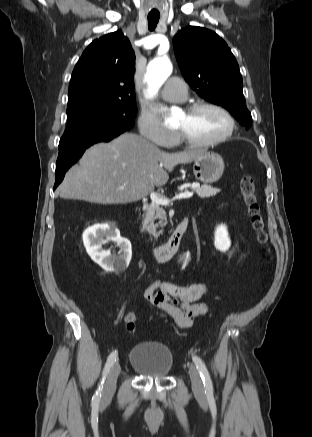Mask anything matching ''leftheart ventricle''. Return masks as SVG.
I'll use <instances>...</instances> for the list:
<instances>
[{"mask_svg":"<svg viewBox=\"0 0 312 437\" xmlns=\"http://www.w3.org/2000/svg\"><path fill=\"white\" fill-rule=\"evenodd\" d=\"M226 118L214 109H202L194 114H181L176 127L190 138L206 141L222 135L227 129Z\"/></svg>","mask_w":312,"mask_h":437,"instance_id":"left-heart-ventricle-1","label":"left heart ventricle"}]
</instances>
